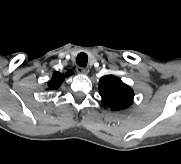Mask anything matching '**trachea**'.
Segmentation results:
<instances>
[{"label": "trachea", "instance_id": "1", "mask_svg": "<svg viewBox=\"0 0 181 164\" xmlns=\"http://www.w3.org/2000/svg\"><path fill=\"white\" fill-rule=\"evenodd\" d=\"M88 62V56L86 53H79L77 58H76V63L81 66V67H86Z\"/></svg>", "mask_w": 181, "mask_h": 164}]
</instances>
